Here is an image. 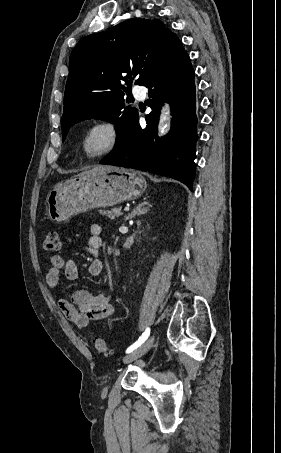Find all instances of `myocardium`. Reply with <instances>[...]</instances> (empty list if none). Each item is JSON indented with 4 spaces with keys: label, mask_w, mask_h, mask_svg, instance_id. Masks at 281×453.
Masks as SVG:
<instances>
[{
    "label": "myocardium",
    "mask_w": 281,
    "mask_h": 453,
    "mask_svg": "<svg viewBox=\"0 0 281 453\" xmlns=\"http://www.w3.org/2000/svg\"><path fill=\"white\" fill-rule=\"evenodd\" d=\"M119 142V133L113 123L99 120L88 125L79 138V153L85 159H94L111 152Z\"/></svg>",
    "instance_id": "obj_1"
}]
</instances>
